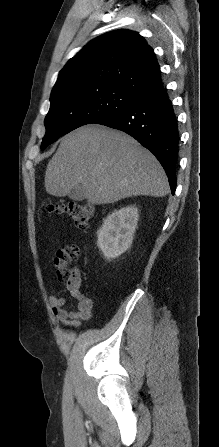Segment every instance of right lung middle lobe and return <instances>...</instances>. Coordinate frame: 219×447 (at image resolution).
Here are the masks:
<instances>
[{
	"mask_svg": "<svg viewBox=\"0 0 219 447\" xmlns=\"http://www.w3.org/2000/svg\"><path fill=\"white\" fill-rule=\"evenodd\" d=\"M138 100L111 85L72 86L51 93L41 150L70 131L110 116Z\"/></svg>",
	"mask_w": 219,
	"mask_h": 447,
	"instance_id": "dd1d6c3e",
	"label": "right lung middle lobe"
}]
</instances>
